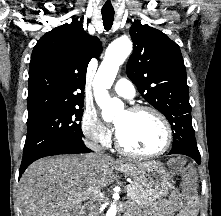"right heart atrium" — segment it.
<instances>
[{
    "label": "right heart atrium",
    "instance_id": "1",
    "mask_svg": "<svg viewBox=\"0 0 221 216\" xmlns=\"http://www.w3.org/2000/svg\"><path fill=\"white\" fill-rule=\"evenodd\" d=\"M81 129L85 138L96 144L107 146L112 138V131L93 109H86L81 119Z\"/></svg>",
    "mask_w": 221,
    "mask_h": 216
}]
</instances>
